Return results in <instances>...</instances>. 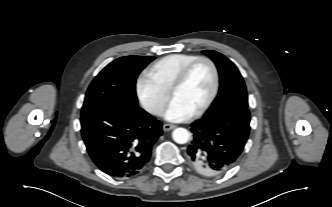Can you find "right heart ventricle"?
<instances>
[{
    "label": "right heart ventricle",
    "instance_id": "1",
    "mask_svg": "<svg viewBox=\"0 0 332 207\" xmlns=\"http://www.w3.org/2000/svg\"><path fill=\"white\" fill-rule=\"evenodd\" d=\"M199 56L194 54L176 53L162 57L148 69L147 74L164 90L170 88L180 71Z\"/></svg>",
    "mask_w": 332,
    "mask_h": 207
}]
</instances>
